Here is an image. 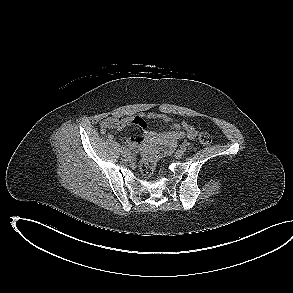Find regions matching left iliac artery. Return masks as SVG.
<instances>
[{
	"label": "left iliac artery",
	"mask_w": 293,
	"mask_h": 293,
	"mask_svg": "<svg viewBox=\"0 0 293 293\" xmlns=\"http://www.w3.org/2000/svg\"><path fill=\"white\" fill-rule=\"evenodd\" d=\"M180 149H181L183 152H185V151H186V146L183 144V145L180 146Z\"/></svg>",
	"instance_id": "left-iliac-artery-1"
}]
</instances>
